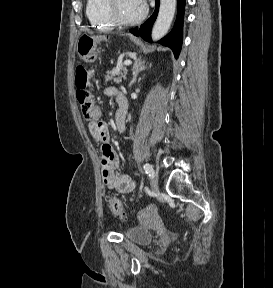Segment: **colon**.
I'll return each instance as SVG.
<instances>
[{"label": "colon", "mask_w": 273, "mask_h": 288, "mask_svg": "<svg viewBox=\"0 0 273 288\" xmlns=\"http://www.w3.org/2000/svg\"><path fill=\"white\" fill-rule=\"evenodd\" d=\"M78 55L80 59L91 62L95 59L93 39L89 36H82L78 42ZM89 83V71L78 66L75 70V85L77 88L76 98L82 111L83 117L90 122L97 121L100 116V110L94 102L90 91L87 89ZM107 204L110 211L118 218L125 219L126 213L121 201L115 196L107 197Z\"/></svg>", "instance_id": "obj_1"}]
</instances>
